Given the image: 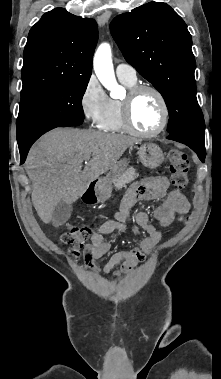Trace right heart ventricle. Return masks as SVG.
Returning a JSON list of instances; mask_svg holds the SVG:
<instances>
[{
	"label": "right heart ventricle",
	"mask_w": 221,
	"mask_h": 379,
	"mask_svg": "<svg viewBox=\"0 0 221 379\" xmlns=\"http://www.w3.org/2000/svg\"><path fill=\"white\" fill-rule=\"evenodd\" d=\"M122 84L131 88L135 85V82H128L121 80ZM98 127L107 132H122L125 131V126L122 119V101L119 99L110 98L107 112L100 122Z\"/></svg>",
	"instance_id": "e07e8e85"
}]
</instances>
